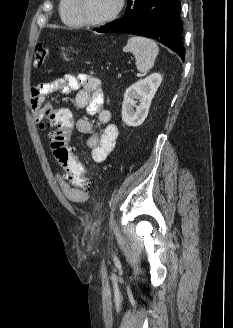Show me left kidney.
<instances>
[{
	"label": "left kidney",
	"mask_w": 233,
	"mask_h": 328,
	"mask_svg": "<svg viewBox=\"0 0 233 328\" xmlns=\"http://www.w3.org/2000/svg\"><path fill=\"white\" fill-rule=\"evenodd\" d=\"M161 82V74L153 73L126 89L121 112L126 125L137 127L145 121L151 101ZM137 102L139 105H136Z\"/></svg>",
	"instance_id": "1"
}]
</instances>
